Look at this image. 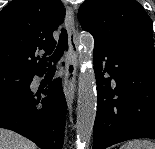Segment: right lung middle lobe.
I'll return each mask as SVG.
<instances>
[{
	"label": "right lung middle lobe",
	"instance_id": "dd1d6c3e",
	"mask_svg": "<svg viewBox=\"0 0 155 149\" xmlns=\"http://www.w3.org/2000/svg\"><path fill=\"white\" fill-rule=\"evenodd\" d=\"M32 76L26 73L0 68V95H22L30 91Z\"/></svg>",
	"mask_w": 155,
	"mask_h": 149
}]
</instances>
